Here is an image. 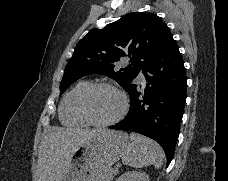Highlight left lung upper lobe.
<instances>
[{"instance_id":"obj_1","label":"left lung upper lobe","mask_w":228,"mask_h":181,"mask_svg":"<svg viewBox=\"0 0 228 181\" xmlns=\"http://www.w3.org/2000/svg\"><path fill=\"white\" fill-rule=\"evenodd\" d=\"M172 35L154 13L134 12L106 25L94 28L77 44L60 85V94L79 78L102 74L117 81L128 93L135 78ZM122 57L130 64L120 67Z\"/></svg>"}]
</instances>
